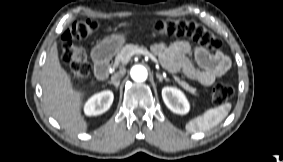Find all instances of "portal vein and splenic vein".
<instances>
[{
  "instance_id": "obj_1",
  "label": "portal vein and splenic vein",
  "mask_w": 283,
  "mask_h": 162,
  "mask_svg": "<svg viewBox=\"0 0 283 162\" xmlns=\"http://www.w3.org/2000/svg\"><path fill=\"white\" fill-rule=\"evenodd\" d=\"M139 53L148 56L152 61L155 62L156 66H159V62H158L157 58L155 56H153L149 51H139ZM132 55L133 54L127 56L126 60L123 61V63L126 64L130 60V57Z\"/></svg>"
}]
</instances>
